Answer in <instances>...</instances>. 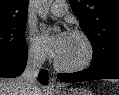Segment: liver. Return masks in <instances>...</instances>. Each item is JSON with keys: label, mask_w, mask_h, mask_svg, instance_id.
I'll return each mask as SVG.
<instances>
[{"label": "liver", "mask_w": 119, "mask_h": 95, "mask_svg": "<svg viewBox=\"0 0 119 95\" xmlns=\"http://www.w3.org/2000/svg\"><path fill=\"white\" fill-rule=\"evenodd\" d=\"M19 78H0V95H24ZM34 95H45L43 88L37 84Z\"/></svg>", "instance_id": "1"}]
</instances>
